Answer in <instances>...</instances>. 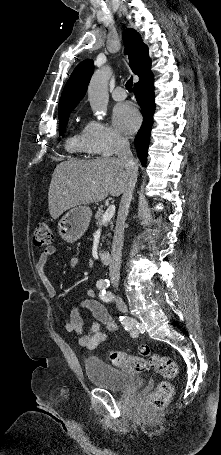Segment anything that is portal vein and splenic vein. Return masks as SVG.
I'll return each mask as SVG.
<instances>
[{
    "label": "portal vein and splenic vein",
    "mask_w": 221,
    "mask_h": 455,
    "mask_svg": "<svg viewBox=\"0 0 221 455\" xmlns=\"http://www.w3.org/2000/svg\"><path fill=\"white\" fill-rule=\"evenodd\" d=\"M115 214V205H110L102 217V224H105L111 220Z\"/></svg>",
    "instance_id": "1"
}]
</instances>
